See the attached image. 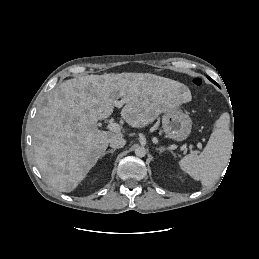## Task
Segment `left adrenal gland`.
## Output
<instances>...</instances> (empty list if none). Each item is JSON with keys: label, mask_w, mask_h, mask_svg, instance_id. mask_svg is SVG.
Listing matches in <instances>:
<instances>
[{"label": "left adrenal gland", "mask_w": 259, "mask_h": 259, "mask_svg": "<svg viewBox=\"0 0 259 259\" xmlns=\"http://www.w3.org/2000/svg\"><path fill=\"white\" fill-rule=\"evenodd\" d=\"M157 151H159V153L161 154L162 152L166 151L167 148L165 147H159V148H156Z\"/></svg>", "instance_id": "1"}]
</instances>
